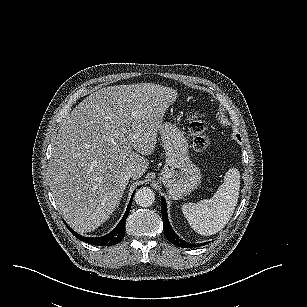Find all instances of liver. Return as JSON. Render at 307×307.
Returning <instances> with one entry per match:
<instances>
[{"label":"liver","mask_w":307,"mask_h":307,"mask_svg":"<svg viewBox=\"0 0 307 307\" xmlns=\"http://www.w3.org/2000/svg\"><path fill=\"white\" fill-rule=\"evenodd\" d=\"M177 93L154 83L107 86L65 118L49 160L50 189L68 226L94 230L118 206L132 174L147 171L156 132ZM133 149L135 151H133Z\"/></svg>","instance_id":"1"}]
</instances>
